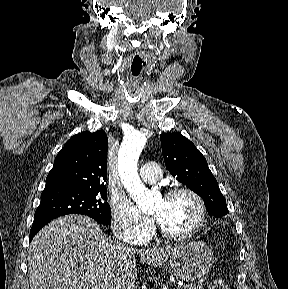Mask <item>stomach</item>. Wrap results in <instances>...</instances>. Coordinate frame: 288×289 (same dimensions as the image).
I'll list each match as a JSON object with an SVG mask.
<instances>
[{
	"label": "stomach",
	"mask_w": 288,
	"mask_h": 289,
	"mask_svg": "<svg viewBox=\"0 0 288 289\" xmlns=\"http://www.w3.org/2000/svg\"><path fill=\"white\" fill-rule=\"evenodd\" d=\"M169 266L175 276L195 281L205 276L214 262L212 250L201 241H191L174 247Z\"/></svg>",
	"instance_id": "1"
}]
</instances>
